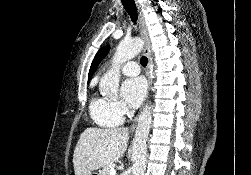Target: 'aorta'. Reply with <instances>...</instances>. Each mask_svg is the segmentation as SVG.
I'll use <instances>...</instances> for the list:
<instances>
[{
    "label": "aorta",
    "mask_w": 251,
    "mask_h": 175,
    "mask_svg": "<svg viewBox=\"0 0 251 175\" xmlns=\"http://www.w3.org/2000/svg\"><path fill=\"white\" fill-rule=\"evenodd\" d=\"M143 46V40L135 38L131 42H120L117 46L116 54L113 58V64L102 76L99 84V89L103 95H117L119 82H120V68L124 62H129L131 58H135L136 54L141 52ZM152 105L146 103L138 117V125L136 127L135 135L133 137V175H144L146 169V141L148 133L150 131V125L152 123Z\"/></svg>",
    "instance_id": "1"
}]
</instances>
